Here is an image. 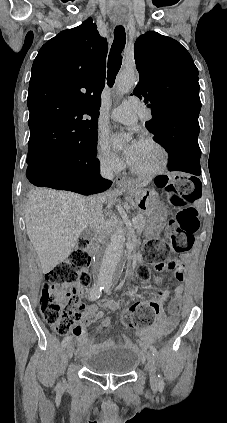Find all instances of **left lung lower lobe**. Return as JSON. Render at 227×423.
Returning <instances> with one entry per match:
<instances>
[{"label":"left lung lower lobe","instance_id":"obj_1","mask_svg":"<svg viewBox=\"0 0 227 423\" xmlns=\"http://www.w3.org/2000/svg\"><path fill=\"white\" fill-rule=\"evenodd\" d=\"M198 135L199 127L190 126L175 135L156 139L168 152L170 171H183L197 176L201 174Z\"/></svg>","mask_w":227,"mask_h":423}]
</instances>
